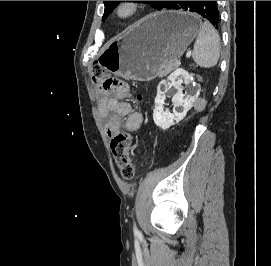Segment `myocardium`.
<instances>
[{
  "label": "myocardium",
  "mask_w": 271,
  "mask_h": 266,
  "mask_svg": "<svg viewBox=\"0 0 271 266\" xmlns=\"http://www.w3.org/2000/svg\"><path fill=\"white\" fill-rule=\"evenodd\" d=\"M141 8L142 5L139 2L120 1L116 4L113 15L119 22H128L139 15Z\"/></svg>",
  "instance_id": "obj_1"
}]
</instances>
